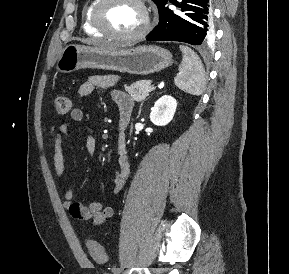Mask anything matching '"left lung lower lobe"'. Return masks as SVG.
Here are the masks:
<instances>
[{"label":"left lung lower lobe","mask_w":289,"mask_h":274,"mask_svg":"<svg viewBox=\"0 0 289 274\" xmlns=\"http://www.w3.org/2000/svg\"><path fill=\"white\" fill-rule=\"evenodd\" d=\"M170 2L180 8L175 14L166 7ZM214 36L209 0H167L159 10V23L147 40H171L191 45H205Z\"/></svg>","instance_id":"obj_1"}]
</instances>
